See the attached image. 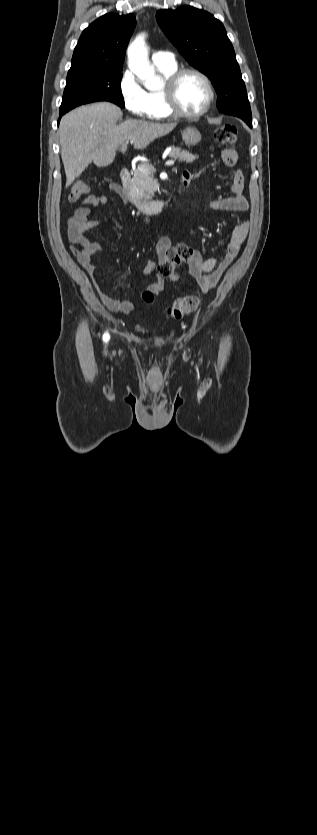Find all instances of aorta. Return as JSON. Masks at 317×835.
I'll return each instance as SVG.
<instances>
[{
  "mask_svg": "<svg viewBox=\"0 0 317 835\" xmlns=\"http://www.w3.org/2000/svg\"><path fill=\"white\" fill-rule=\"evenodd\" d=\"M128 66L147 89H158L161 86V77L156 75L154 67L150 65L144 35H138L129 45Z\"/></svg>",
  "mask_w": 317,
  "mask_h": 835,
  "instance_id": "1",
  "label": "aorta"
}]
</instances>
